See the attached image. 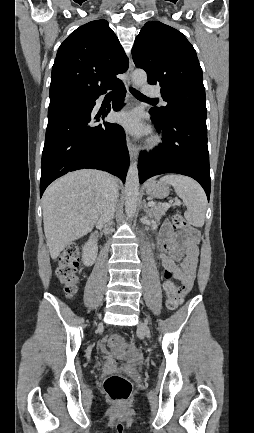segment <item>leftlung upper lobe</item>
Returning a JSON list of instances; mask_svg holds the SVG:
<instances>
[{"label":"left lung upper lobe","mask_w":254,"mask_h":433,"mask_svg":"<svg viewBox=\"0 0 254 433\" xmlns=\"http://www.w3.org/2000/svg\"><path fill=\"white\" fill-rule=\"evenodd\" d=\"M133 61L146 71L148 83L160 85L165 107L152 108L159 119L181 111L206 115L205 88L196 51L178 30L147 22L135 39Z\"/></svg>","instance_id":"left-lung-upper-lobe-1"}]
</instances>
